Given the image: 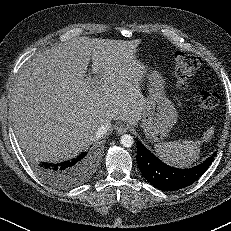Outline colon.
<instances>
[{
	"mask_svg": "<svg viewBox=\"0 0 231 231\" xmlns=\"http://www.w3.org/2000/svg\"><path fill=\"white\" fill-rule=\"evenodd\" d=\"M201 66V60L195 55L178 53L175 57V74L177 86L185 88L188 80L193 76ZM192 101L199 111H208L214 109L218 104V96L211 91H201L197 93Z\"/></svg>",
	"mask_w": 231,
	"mask_h": 231,
	"instance_id": "colon-1",
	"label": "colon"
}]
</instances>
